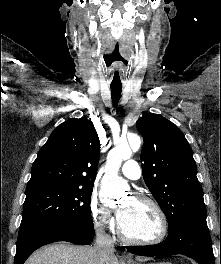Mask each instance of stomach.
Here are the masks:
<instances>
[{
    "instance_id": "0dacf381",
    "label": "stomach",
    "mask_w": 221,
    "mask_h": 264,
    "mask_svg": "<svg viewBox=\"0 0 221 264\" xmlns=\"http://www.w3.org/2000/svg\"><path fill=\"white\" fill-rule=\"evenodd\" d=\"M151 264H171V263H151Z\"/></svg>"
}]
</instances>
